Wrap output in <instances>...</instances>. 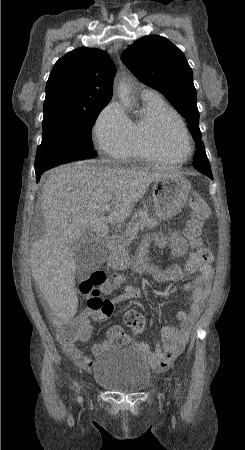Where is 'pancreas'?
Masks as SVG:
<instances>
[{"label":"pancreas","mask_w":245,"mask_h":450,"mask_svg":"<svg viewBox=\"0 0 245 450\" xmlns=\"http://www.w3.org/2000/svg\"><path fill=\"white\" fill-rule=\"evenodd\" d=\"M158 221L148 214L147 210H138L131 218L128 227L126 229V240L131 242L139 232V229H144L145 227H155Z\"/></svg>","instance_id":"pancreas-1"}]
</instances>
